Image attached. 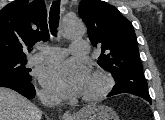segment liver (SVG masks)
Returning <instances> with one entry per match:
<instances>
[{
  "instance_id": "6515ba94",
  "label": "liver",
  "mask_w": 165,
  "mask_h": 120,
  "mask_svg": "<svg viewBox=\"0 0 165 120\" xmlns=\"http://www.w3.org/2000/svg\"><path fill=\"white\" fill-rule=\"evenodd\" d=\"M41 111L19 93L0 87V120H40Z\"/></svg>"
}]
</instances>
